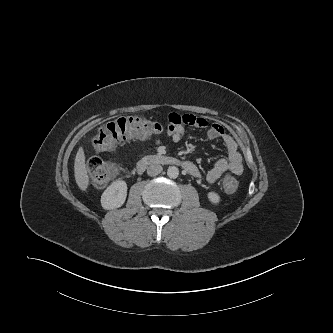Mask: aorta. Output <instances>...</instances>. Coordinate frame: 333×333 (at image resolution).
<instances>
[{
    "mask_svg": "<svg viewBox=\"0 0 333 333\" xmlns=\"http://www.w3.org/2000/svg\"><path fill=\"white\" fill-rule=\"evenodd\" d=\"M167 175L171 179H176L179 175V169L176 166H170L167 169Z\"/></svg>",
    "mask_w": 333,
    "mask_h": 333,
    "instance_id": "1",
    "label": "aorta"
}]
</instances>
